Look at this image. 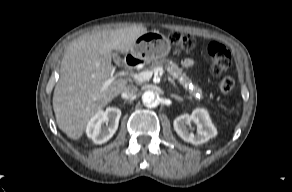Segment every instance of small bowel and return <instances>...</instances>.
<instances>
[{"instance_id": "1", "label": "small bowel", "mask_w": 292, "mask_h": 192, "mask_svg": "<svg viewBox=\"0 0 292 192\" xmlns=\"http://www.w3.org/2000/svg\"><path fill=\"white\" fill-rule=\"evenodd\" d=\"M193 65H194V62L191 59H185L183 61V66L186 68H191L193 67Z\"/></svg>"}]
</instances>
